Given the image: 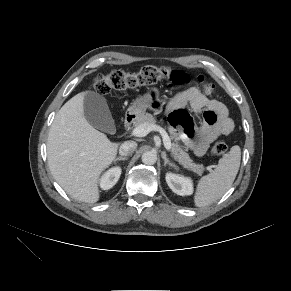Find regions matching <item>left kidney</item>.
Listing matches in <instances>:
<instances>
[{
  "instance_id": "5707ae66",
  "label": "left kidney",
  "mask_w": 291,
  "mask_h": 291,
  "mask_svg": "<svg viewBox=\"0 0 291 291\" xmlns=\"http://www.w3.org/2000/svg\"><path fill=\"white\" fill-rule=\"evenodd\" d=\"M166 182L177 195L184 196L193 193V183L190 178L169 172L166 174Z\"/></svg>"
}]
</instances>
